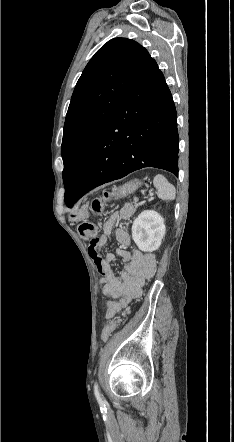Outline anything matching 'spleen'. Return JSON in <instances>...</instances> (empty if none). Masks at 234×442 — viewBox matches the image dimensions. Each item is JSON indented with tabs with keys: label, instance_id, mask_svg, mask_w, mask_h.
<instances>
[{
	"label": "spleen",
	"instance_id": "1",
	"mask_svg": "<svg viewBox=\"0 0 234 442\" xmlns=\"http://www.w3.org/2000/svg\"><path fill=\"white\" fill-rule=\"evenodd\" d=\"M153 184L157 189V195L162 200H174L176 196L175 187L161 174H157L153 179Z\"/></svg>",
	"mask_w": 234,
	"mask_h": 442
}]
</instances>
